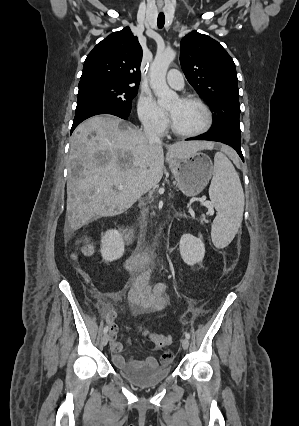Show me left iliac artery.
Segmentation results:
<instances>
[{"label": "left iliac artery", "instance_id": "obj_1", "mask_svg": "<svg viewBox=\"0 0 299 426\" xmlns=\"http://www.w3.org/2000/svg\"><path fill=\"white\" fill-rule=\"evenodd\" d=\"M185 337H186L187 339H189V338H190V334H189L188 332H185Z\"/></svg>", "mask_w": 299, "mask_h": 426}]
</instances>
